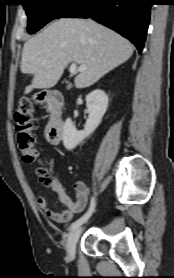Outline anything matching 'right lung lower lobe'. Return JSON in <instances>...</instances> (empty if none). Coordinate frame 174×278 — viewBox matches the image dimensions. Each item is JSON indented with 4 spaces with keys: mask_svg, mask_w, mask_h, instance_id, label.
Returning <instances> with one entry per match:
<instances>
[{
    "mask_svg": "<svg viewBox=\"0 0 174 278\" xmlns=\"http://www.w3.org/2000/svg\"><path fill=\"white\" fill-rule=\"evenodd\" d=\"M151 0H78L62 17L92 18L117 31L142 51Z\"/></svg>",
    "mask_w": 174,
    "mask_h": 278,
    "instance_id": "1",
    "label": "right lung lower lobe"
}]
</instances>
